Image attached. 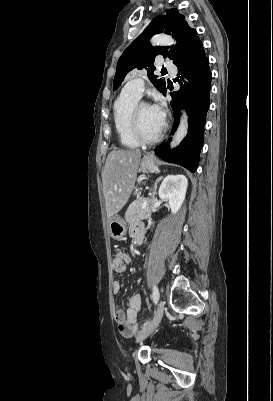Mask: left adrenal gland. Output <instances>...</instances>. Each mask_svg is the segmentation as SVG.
Returning <instances> with one entry per match:
<instances>
[{
    "label": "left adrenal gland",
    "mask_w": 273,
    "mask_h": 401,
    "mask_svg": "<svg viewBox=\"0 0 273 401\" xmlns=\"http://www.w3.org/2000/svg\"><path fill=\"white\" fill-rule=\"evenodd\" d=\"M163 176H158V178H156L154 184H153V194H152V198H155V194H157V186H158V182L159 180H162Z\"/></svg>",
    "instance_id": "a2214340"
}]
</instances>
